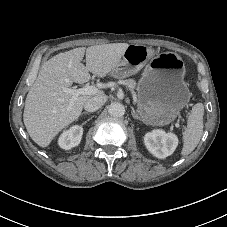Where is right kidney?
Instances as JSON below:
<instances>
[{
  "instance_id": "obj_1",
  "label": "right kidney",
  "mask_w": 227,
  "mask_h": 227,
  "mask_svg": "<svg viewBox=\"0 0 227 227\" xmlns=\"http://www.w3.org/2000/svg\"><path fill=\"white\" fill-rule=\"evenodd\" d=\"M82 135V126L74 125L61 134L58 140V144L62 149L70 150L71 148L77 146L80 143Z\"/></svg>"
}]
</instances>
